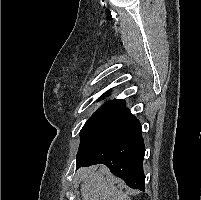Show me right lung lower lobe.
I'll return each instance as SVG.
<instances>
[{
	"label": "right lung lower lobe",
	"mask_w": 201,
	"mask_h": 200,
	"mask_svg": "<svg viewBox=\"0 0 201 200\" xmlns=\"http://www.w3.org/2000/svg\"><path fill=\"white\" fill-rule=\"evenodd\" d=\"M144 155L139 120L123 107L81 134L76 167L105 164L129 187L144 191Z\"/></svg>",
	"instance_id": "1"
}]
</instances>
